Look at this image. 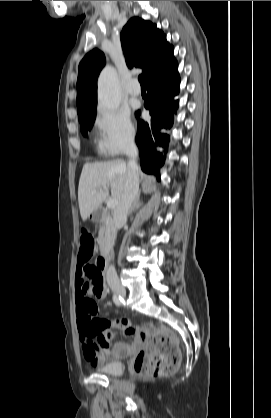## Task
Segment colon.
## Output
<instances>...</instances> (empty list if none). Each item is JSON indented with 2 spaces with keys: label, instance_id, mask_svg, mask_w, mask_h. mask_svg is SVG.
<instances>
[{
  "label": "colon",
  "instance_id": "5ec220e1",
  "mask_svg": "<svg viewBox=\"0 0 271 418\" xmlns=\"http://www.w3.org/2000/svg\"><path fill=\"white\" fill-rule=\"evenodd\" d=\"M95 253L94 237L89 231L83 230L79 241V261H90ZM180 358L174 334L166 328H157L151 344L136 356L134 369L139 374L165 377L178 369Z\"/></svg>",
  "mask_w": 271,
  "mask_h": 418
}]
</instances>
